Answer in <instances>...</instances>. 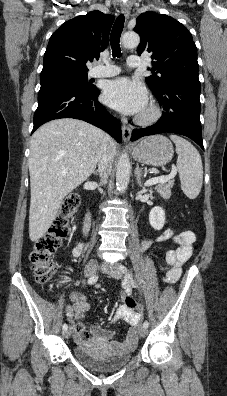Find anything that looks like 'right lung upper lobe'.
I'll list each match as a JSON object with an SVG mask.
<instances>
[{
	"instance_id": "right-lung-upper-lobe-1",
	"label": "right lung upper lobe",
	"mask_w": 227,
	"mask_h": 396,
	"mask_svg": "<svg viewBox=\"0 0 227 396\" xmlns=\"http://www.w3.org/2000/svg\"><path fill=\"white\" fill-rule=\"evenodd\" d=\"M113 15L98 10L63 23L50 37L43 70L70 68L88 70L86 63L99 58L109 43Z\"/></svg>"
}]
</instances>
